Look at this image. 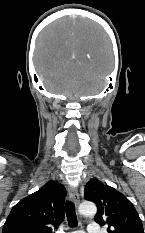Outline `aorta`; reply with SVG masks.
<instances>
[{"mask_svg":"<svg viewBox=\"0 0 145 233\" xmlns=\"http://www.w3.org/2000/svg\"><path fill=\"white\" fill-rule=\"evenodd\" d=\"M97 212V207L93 202H84L79 206V213L83 216H94Z\"/></svg>","mask_w":145,"mask_h":233,"instance_id":"obj_1","label":"aorta"}]
</instances>
